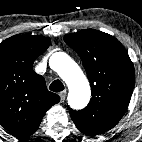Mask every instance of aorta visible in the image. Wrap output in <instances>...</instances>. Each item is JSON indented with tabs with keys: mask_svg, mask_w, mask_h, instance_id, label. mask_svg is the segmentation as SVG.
<instances>
[{
	"mask_svg": "<svg viewBox=\"0 0 142 142\" xmlns=\"http://www.w3.org/2000/svg\"><path fill=\"white\" fill-rule=\"evenodd\" d=\"M49 65L67 84L69 105L74 109L84 108L90 100L91 90L78 64L66 53L56 52L50 57Z\"/></svg>",
	"mask_w": 142,
	"mask_h": 142,
	"instance_id": "762f6f07",
	"label": "aorta"
}]
</instances>
